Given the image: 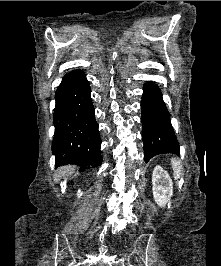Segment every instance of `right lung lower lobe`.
I'll return each instance as SVG.
<instances>
[{
	"instance_id": "98d812e1",
	"label": "right lung lower lobe",
	"mask_w": 221,
	"mask_h": 266,
	"mask_svg": "<svg viewBox=\"0 0 221 266\" xmlns=\"http://www.w3.org/2000/svg\"><path fill=\"white\" fill-rule=\"evenodd\" d=\"M55 99L52 148L56 165L76 164L80 171L99 166L101 139L86 75L80 70L66 74Z\"/></svg>"
}]
</instances>
